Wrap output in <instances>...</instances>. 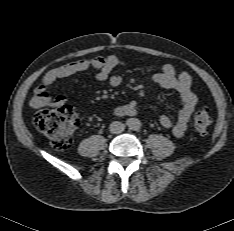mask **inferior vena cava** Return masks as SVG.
I'll return each mask as SVG.
<instances>
[{
	"label": "inferior vena cava",
	"instance_id": "obj_1",
	"mask_svg": "<svg viewBox=\"0 0 234 231\" xmlns=\"http://www.w3.org/2000/svg\"><path fill=\"white\" fill-rule=\"evenodd\" d=\"M109 129L112 134H120L124 131L125 125L119 121H114L110 124Z\"/></svg>",
	"mask_w": 234,
	"mask_h": 231
}]
</instances>
